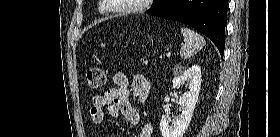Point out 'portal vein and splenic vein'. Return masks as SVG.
<instances>
[{"mask_svg": "<svg viewBox=\"0 0 280 137\" xmlns=\"http://www.w3.org/2000/svg\"><path fill=\"white\" fill-rule=\"evenodd\" d=\"M171 56V52H168L167 54H166V57H170Z\"/></svg>", "mask_w": 280, "mask_h": 137, "instance_id": "portal-vein-and-splenic-vein-1", "label": "portal vein and splenic vein"}]
</instances>
